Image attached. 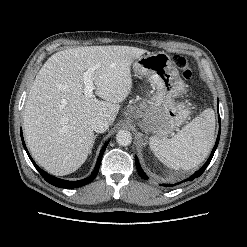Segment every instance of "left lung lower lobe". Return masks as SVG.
I'll list each match as a JSON object with an SVG mask.
<instances>
[{
  "mask_svg": "<svg viewBox=\"0 0 247 247\" xmlns=\"http://www.w3.org/2000/svg\"><path fill=\"white\" fill-rule=\"evenodd\" d=\"M217 108H218V111H219V107H218V104H217ZM220 131H221V121H220V116H219V133H218V136H217V140H216V143H215V146L211 152V155L210 157L208 158L207 162L205 163V165L199 169L197 172H195L194 175H192L191 177H189L188 179L184 180V181H181V182H177L175 184H163V186H176V185H179L181 184L182 182H185V181H191L197 177H199L203 172L204 170L206 169V167L209 165L213 155H214V152L218 146V143H219V138H220ZM135 163H136V168H137V171L139 173V175L143 178V179H148L147 175L144 173V171L142 170L140 164H139V161H138V158L135 156Z\"/></svg>",
  "mask_w": 247,
  "mask_h": 247,
  "instance_id": "0a47b994",
  "label": "left lung lower lobe"
}]
</instances>
